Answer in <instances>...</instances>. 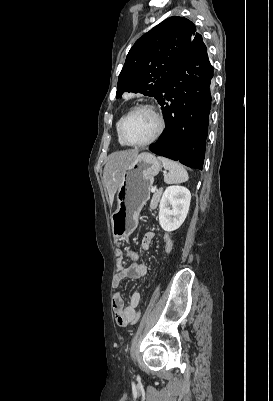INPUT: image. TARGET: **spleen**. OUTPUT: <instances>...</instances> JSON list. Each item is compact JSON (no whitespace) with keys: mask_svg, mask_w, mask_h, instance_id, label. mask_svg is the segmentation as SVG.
<instances>
[{"mask_svg":"<svg viewBox=\"0 0 273 401\" xmlns=\"http://www.w3.org/2000/svg\"><path fill=\"white\" fill-rule=\"evenodd\" d=\"M157 158L161 160L164 168L169 170L168 174L164 176L165 182L174 184V182H185V180H188V172L180 162H174V160H169V158H164V156H157Z\"/></svg>","mask_w":273,"mask_h":401,"instance_id":"spleen-1","label":"spleen"}]
</instances>
